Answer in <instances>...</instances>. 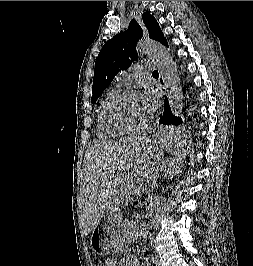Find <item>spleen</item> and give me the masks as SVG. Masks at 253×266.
<instances>
[{
	"mask_svg": "<svg viewBox=\"0 0 253 266\" xmlns=\"http://www.w3.org/2000/svg\"><path fill=\"white\" fill-rule=\"evenodd\" d=\"M168 146L171 154H188L189 146L186 138H169ZM183 168L182 156H165L164 160L159 161V165L154 166L155 174H172L173 169Z\"/></svg>",
	"mask_w": 253,
	"mask_h": 266,
	"instance_id": "obj_1",
	"label": "spleen"
}]
</instances>
